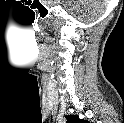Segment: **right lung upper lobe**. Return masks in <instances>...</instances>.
I'll return each instance as SVG.
<instances>
[{"instance_id":"right-lung-upper-lobe-1","label":"right lung upper lobe","mask_w":124,"mask_h":123,"mask_svg":"<svg viewBox=\"0 0 124 123\" xmlns=\"http://www.w3.org/2000/svg\"><path fill=\"white\" fill-rule=\"evenodd\" d=\"M85 122L84 120H80L78 116L75 115H68L67 116V123H82Z\"/></svg>"}]
</instances>
